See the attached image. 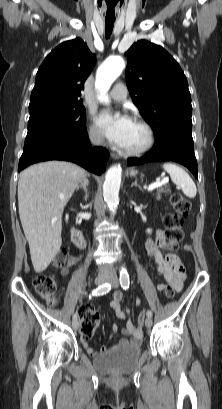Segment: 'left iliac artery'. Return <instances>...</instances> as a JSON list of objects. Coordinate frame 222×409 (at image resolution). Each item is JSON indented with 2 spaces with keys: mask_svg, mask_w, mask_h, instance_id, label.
<instances>
[{
  "mask_svg": "<svg viewBox=\"0 0 222 409\" xmlns=\"http://www.w3.org/2000/svg\"><path fill=\"white\" fill-rule=\"evenodd\" d=\"M120 284L123 289H128L130 282H129V275L125 268H122L120 271ZM147 316L152 317V312L150 310L147 311Z\"/></svg>",
  "mask_w": 222,
  "mask_h": 409,
  "instance_id": "44dca946",
  "label": "left iliac artery"
}]
</instances>
